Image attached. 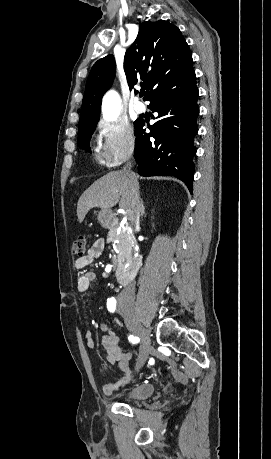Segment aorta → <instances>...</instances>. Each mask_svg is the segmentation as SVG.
Listing matches in <instances>:
<instances>
[{
    "mask_svg": "<svg viewBox=\"0 0 271 459\" xmlns=\"http://www.w3.org/2000/svg\"><path fill=\"white\" fill-rule=\"evenodd\" d=\"M121 101L118 93L109 91L103 98L102 113L104 119L114 121L120 114Z\"/></svg>",
    "mask_w": 271,
    "mask_h": 459,
    "instance_id": "762f6f07",
    "label": "aorta"
}]
</instances>
